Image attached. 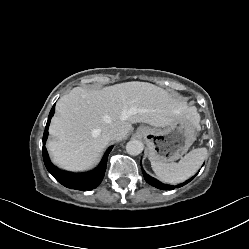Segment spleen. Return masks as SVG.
Returning <instances> with one entry per match:
<instances>
[{"label": "spleen", "mask_w": 249, "mask_h": 249, "mask_svg": "<svg viewBox=\"0 0 249 249\" xmlns=\"http://www.w3.org/2000/svg\"><path fill=\"white\" fill-rule=\"evenodd\" d=\"M207 155L206 148H197L186 154L178 163L151 161V167L160 180L176 184L194 175L207 158Z\"/></svg>", "instance_id": "1"}]
</instances>
